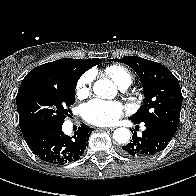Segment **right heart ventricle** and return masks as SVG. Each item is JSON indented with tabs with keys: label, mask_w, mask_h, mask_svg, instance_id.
<instances>
[{
	"label": "right heart ventricle",
	"mask_w": 196,
	"mask_h": 196,
	"mask_svg": "<svg viewBox=\"0 0 196 196\" xmlns=\"http://www.w3.org/2000/svg\"><path fill=\"white\" fill-rule=\"evenodd\" d=\"M105 73L120 87L129 86L132 82L131 73L122 66H108L105 69Z\"/></svg>",
	"instance_id": "obj_1"
}]
</instances>
